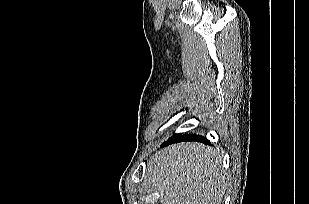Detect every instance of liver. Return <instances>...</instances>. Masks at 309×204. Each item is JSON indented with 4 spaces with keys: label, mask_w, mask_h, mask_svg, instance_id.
<instances>
[{
    "label": "liver",
    "mask_w": 309,
    "mask_h": 204,
    "mask_svg": "<svg viewBox=\"0 0 309 204\" xmlns=\"http://www.w3.org/2000/svg\"><path fill=\"white\" fill-rule=\"evenodd\" d=\"M147 176L161 204H221L227 187L221 154L197 142L157 151Z\"/></svg>",
    "instance_id": "1"
}]
</instances>
